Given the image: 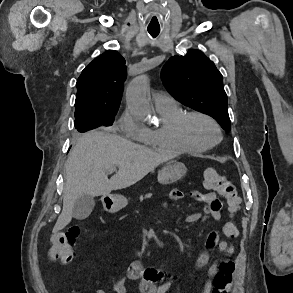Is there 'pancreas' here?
Segmentation results:
<instances>
[{
  "label": "pancreas",
  "mask_w": 293,
  "mask_h": 293,
  "mask_svg": "<svg viewBox=\"0 0 293 293\" xmlns=\"http://www.w3.org/2000/svg\"><path fill=\"white\" fill-rule=\"evenodd\" d=\"M152 197V194L151 193H148L146 194L145 196H140V200H144V199H148V198H151Z\"/></svg>",
  "instance_id": "1"
}]
</instances>
